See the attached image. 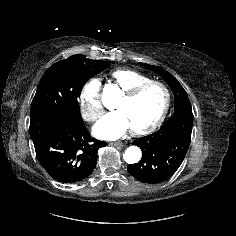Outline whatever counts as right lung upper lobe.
<instances>
[{"label": "right lung upper lobe", "mask_w": 236, "mask_h": 236, "mask_svg": "<svg viewBox=\"0 0 236 236\" xmlns=\"http://www.w3.org/2000/svg\"><path fill=\"white\" fill-rule=\"evenodd\" d=\"M65 61L79 62V63H85V64H91V63L97 62V60L85 59V57L82 55L70 56L69 58L65 59Z\"/></svg>", "instance_id": "1"}]
</instances>
